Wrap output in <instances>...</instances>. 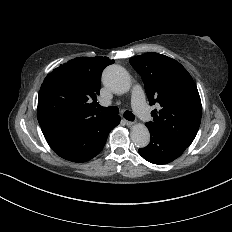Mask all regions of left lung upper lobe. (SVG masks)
Listing matches in <instances>:
<instances>
[{
	"mask_svg": "<svg viewBox=\"0 0 232 232\" xmlns=\"http://www.w3.org/2000/svg\"><path fill=\"white\" fill-rule=\"evenodd\" d=\"M129 61L142 76L150 105H160L159 110L151 112L154 120L146 123L147 128L188 147L202 114L200 96L190 74L176 60L155 52Z\"/></svg>",
	"mask_w": 232,
	"mask_h": 232,
	"instance_id": "left-lung-upper-lobe-1",
	"label": "left lung upper lobe"
}]
</instances>
